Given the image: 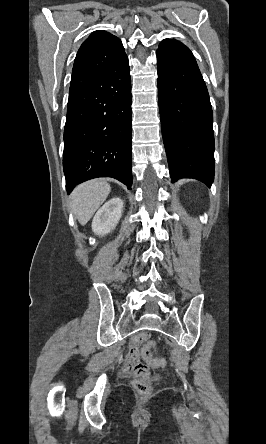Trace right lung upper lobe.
<instances>
[{"instance_id": "right-lung-upper-lobe-1", "label": "right lung upper lobe", "mask_w": 266, "mask_h": 444, "mask_svg": "<svg viewBox=\"0 0 266 444\" xmlns=\"http://www.w3.org/2000/svg\"><path fill=\"white\" fill-rule=\"evenodd\" d=\"M125 56L119 38L106 31H94L77 52L69 96L90 86Z\"/></svg>"}]
</instances>
